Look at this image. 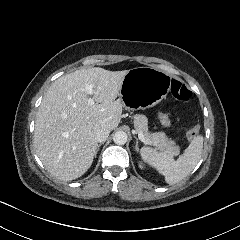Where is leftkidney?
Here are the masks:
<instances>
[{
	"instance_id": "1",
	"label": "left kidney",
	"mask_w": 240,
	"mask_h": 240,
	"mask_svg": "<svg viewBox=\"0 0 240 240\" xmlns=\"http://www.w3.org/2000/svg\"><path fill=\"white\" fill-rule=\"evenodd\" d=\"M136 162H137V166L139 167V169H141V170L146 169L147 164L144 161L138 159Z\"/></svg>"
}]
</instances>
